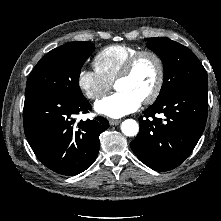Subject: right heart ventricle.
I'll use <instances>...</instances> for the list:
<instances>
[{"label": "right heart ventricle", "mask_w": 221, "mask_h": 221, "mask_svg": "<svg viewBox=\"0 0 221 221\" xmlns=\"http://www.w3.org/2000/svg\"><path fill=\"white\" fill-rule=\"evenodd\" d=\"M141 49L128 44H114L101 49L94 58V67L104 78L113 83L126 61Z\"/></svg>", "instance_id": "e07e8e85"}]
</instances>
